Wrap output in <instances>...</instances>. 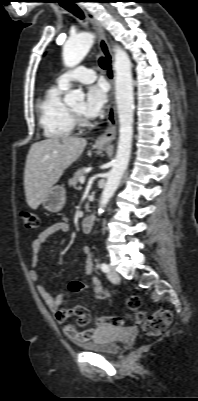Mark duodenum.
<instances>
[{"label": "duodenum", "instance_id": "duodenum-1", "mask_svg": "<svg viewBox=\"0 0 198 401\" xmlns=\"http://www.w3.org/2000/svg\"><path fill=\"white\" fill-rule=\"evenodd\" d=\"M94 222H95L94 215L86 216L81 222L82 231L84 233H89L93 228Z\"/></svg>", "mask_w": 198, "mask_h": 401}]
</instances>
